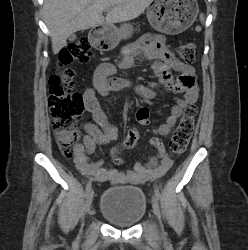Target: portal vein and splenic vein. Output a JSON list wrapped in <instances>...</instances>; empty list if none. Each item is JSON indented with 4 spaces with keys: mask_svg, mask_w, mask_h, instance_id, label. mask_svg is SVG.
Returning <instances> with one entry per match:
<instances>
[{
    "mask_svg": "<svg viewBox=\"0 0 248 250\" xmlns=\"http://www.w3.org/2000/svg\"><path fill=\"white\" fill-rule=\"evenodd\" d=\"M105 11H106V12H108V11H109V9H106Z\"/></svg>",
    "mask_w": 248,
    "mask_h": 250,
    "instance_id": "obj_1",
    "label": "portal vein and splenic vein"
}]
</instances>
